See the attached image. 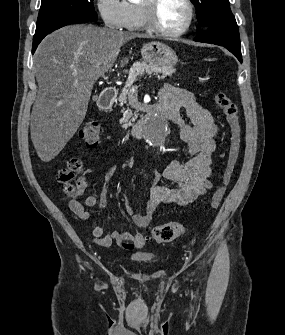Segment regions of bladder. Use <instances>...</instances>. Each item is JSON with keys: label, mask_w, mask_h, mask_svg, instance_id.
Masks as SVG:
<instances>
[{"label": "bladder", "mask_w": 285, "mask_h": 335, "mask_svg": "<svg viewBox=\"0 0 285 335\" xmlns=\"http://www.w3.org/2000/svg\"><path fill=\"white\" fill-rule=\"evenodd\" d=\"M135 263L137 265H141L142 263H144L145 265H148L150 263V260L148 258H145L144 260H142L141 258H137L135 260Z\"/></svg>", "instance_id": "1"}]
</instances>
